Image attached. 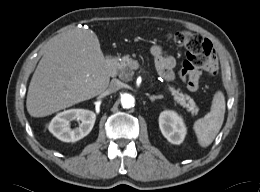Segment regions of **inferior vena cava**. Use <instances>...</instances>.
Wrapping results in <instances>:
<instances>
[{
  "instance_id": "obj_1",
  "label": "inferior vena cava",
  "mask_w": 260,
  "mask_h": 192,
  "mask_svg": "<svg viewBox=\"0 0 260 192\" xmlns=\"http://www.w3.org/2000/svg\"><path fill=\"white\" fill-rule=\"evenodd\" d=\"M122 82L118 79H112L106 90V94L114 93L122 88Z\"/></svg>"
}]
</instances>
